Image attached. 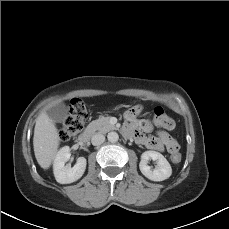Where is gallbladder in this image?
<instances>
[{"instance_id":"obj_1","label":"gallbladder","mask_w":229,"mask_h":229,"mask_svg":"<svg viewBox=\"0 0 229 229\" xmlns=\"http://www.w3.org/2000/svg\"><path fill=\"white\" fill-rule=\"evenodd\" d=\"M47 114L53 121L63 122L68 116V108L64 103H57L48 109Z\"/></svg>"}]
</instances>
